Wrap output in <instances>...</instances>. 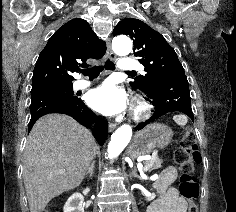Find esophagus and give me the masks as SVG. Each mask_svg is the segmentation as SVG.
<instances>
[{
	"instance_id": "esophagus-1",
	"label": "esophagus",
	"mask_w": 236,
	"mask_h": 212,
	"mask_svg": "<svg viewBox=\"0 0 236 212\" xmlns=\"http://www.w3.org/2000/svg\"><path fill=\"white\" fill-rule=\"evenodd\" d=\"M107 55L109 58L111 59H115L116 56L114 54V52L112 51L111 49V46H110V42L108 41L107 42ZM117 124L116 123H109V131H113L115 128H116Z\"/></svg>"
}]
</instances>
